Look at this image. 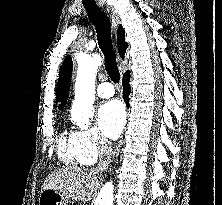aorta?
Listing matches in <instances>:
<instances>
[{
	"mask_svg": "<svg viewBox=\"0 0 222 205\" xmlns=\"http://www.w3.org/2000/svg\"><path fill=\"white\" fill-rule=\"evenodd\" d=\"M100 64L101 60L92 55H85L78 62L71 119L81 127L87 126L90 118L94 115L95 77ZM115 196L116 184L110 180L101 189L97 205H114Z\"/></svg>",
	"mask_w": 222,
	"mask_h": 205,
	"instance_id": "762f6f07",
	"label": "aorta"
}]
</instances>
